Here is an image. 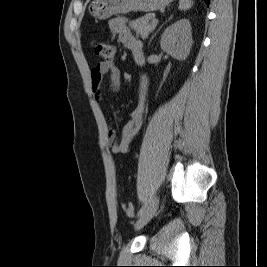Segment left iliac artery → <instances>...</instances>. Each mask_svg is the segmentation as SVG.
Segmentation results:
<instances>
[{
    "label": "left iliac artery",
    "instance_id": "1",
    "mask_svg": "<svg viewBox=\"0 0 267 267\" xmlns=\"http://www.w3.org/2000/svg\"><path fill=\"white\" fill-rule=\"evenodd\" d=\"M146 204H144L141 208H140V210L138 211V213H137V216L139 217V216H141L142 214H143V212L145 211V209H146Z\"/></svg>",
    "mask_w": 267,
    "mask_h": 267
}]
</instances>
